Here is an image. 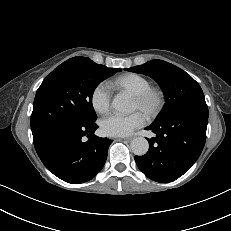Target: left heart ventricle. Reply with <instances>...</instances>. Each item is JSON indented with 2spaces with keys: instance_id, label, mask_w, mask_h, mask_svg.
Segmentation results:
<instances>
[{
  "instance_id": "b2bd125f",
  "label": "left heart ventricle",
  "mask_w": 231,
  "mask_h": 231,
  "mask_svg": "<svg viewBox=\"0 0 231 231\" xmlns=\"http://www.w3.org/2000/svg\"><path fill=\"white\" fill-rule=\"evenodd\" d=\"M132 108L134 110L139 109V104L137 103V101L134 98H133V101H132Z\"/></svg>"
}]
</instances>
